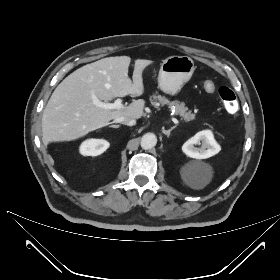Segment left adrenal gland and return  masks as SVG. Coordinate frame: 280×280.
Returning <instances> with one entry per match:
<instances>
[{
	"instance_id": "a2214340",
	"label": "left adrenal gland",
	"mask_w": 280,
	"mask_h": 280,
	"mask_svg": "<svg viewBox=\"0 0 280 280\" xmlns=\"http://www.w3.org/2000/svg\"><path fill=\"white\" fill-rule=\"evenodd\" d=\"M175 128H176V126L171 127L169 130H165L164 128H162V132H163L167 137H169L171 131H172L173 129H175Z\"/></svg>"
}]
</instances>
